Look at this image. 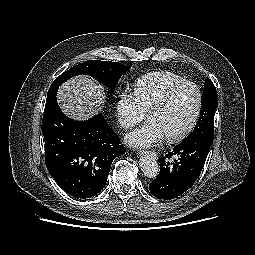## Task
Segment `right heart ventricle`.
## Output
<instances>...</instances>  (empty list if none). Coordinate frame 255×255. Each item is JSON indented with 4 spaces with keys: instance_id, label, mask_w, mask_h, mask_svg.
<instances>
[{
    "instance_id": "right-heart-ventricle-1",
    "label": "right heart ventricle",
    "mask_w": 255,
    "mask_h": 255,
    "mask_svg": "<svg viewBox=\"0 0 255 255\" xmlns=\"http://www.w3.org/2000/svg\"><path fill=\"white\" fill-rule=\"evenodd\" d=\"M183 81V77L172 72H152L136 80L133 93L147 113L165 92Z\"/></svg>"
}]
</instances>
